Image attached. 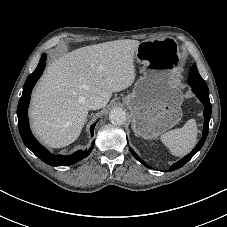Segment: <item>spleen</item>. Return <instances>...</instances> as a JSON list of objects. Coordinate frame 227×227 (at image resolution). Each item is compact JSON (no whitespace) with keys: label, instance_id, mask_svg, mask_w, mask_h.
<instances>
[{"label":"spleen","instance_id":"3e777b00","mask_svg":"<svg viewBox=\"0 0 227 227\" xmlns=\"http://www.w3.org/2000/svg\"><path fill=\"white\" fill-rule=\"evenodd\" d=\"M197 124L195 119L188 120L182 128L174 129L161 135L163 144L175 156L188 154L197 142Z\"/></svg>","mask_w":227,"mask_h":227}]
</instances>
